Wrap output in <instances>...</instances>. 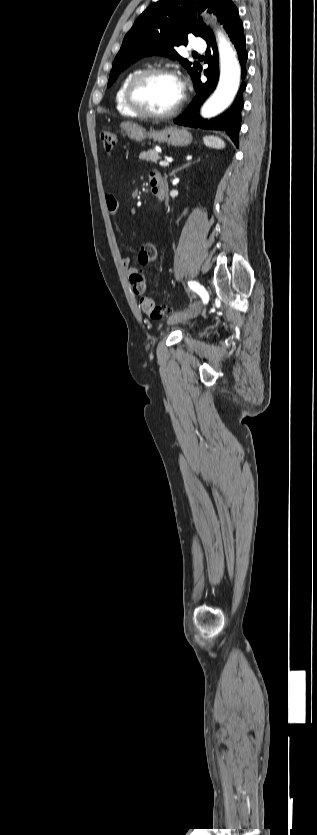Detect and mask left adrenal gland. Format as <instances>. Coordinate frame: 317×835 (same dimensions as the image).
<instances>
[{
    "label": "left adrenal gland",
    "instance_id": "left-adrenal-gland-1",
    "mask_svg": "<svg viewBox=\"0 0 317 835\" xmlns=\"http://www.w3.org/2000/svg\"><path fill=\"white\" fill-rule=\"evenodd\" d=\"M196 162H200V159H198ZM194 163H195V162H194ZM191 164H192V163L190 162V163H187V164L183 165V166H182V167H180V168H177L176 170H173V171L170 173V176H173L176 172H178V171H180V170H182V169H184V168H187V167H188V166H190ZM166 178H167V176L165 175V179H166Z\"/></svg>",
    "mask_w": 317,
    "mask_h": 835
}]
</instances>
